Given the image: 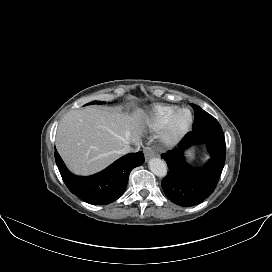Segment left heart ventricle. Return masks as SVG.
<instances>
[{"label":"left heart ventricle","mask_w":272,"mask_h":272,"mask_svg":"<svg viewBox=\"0 0 272 272\" xmlns=\"http://www.w3.org/2000/svg\"><path fill=\"white\" fill-rule=\"evenodd\" d=\"M188 118V113L187 112H182L178 115L176 121H175V126L178 128V127H181L187 120Z\"/></svg>","instance_id":"obj_1"}]
</instances>
